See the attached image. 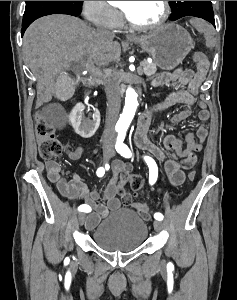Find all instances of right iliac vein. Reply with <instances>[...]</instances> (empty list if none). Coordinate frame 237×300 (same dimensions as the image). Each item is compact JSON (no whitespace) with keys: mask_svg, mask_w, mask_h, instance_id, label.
<instances>
[{"mask_svg":"<svg viewBox=\"0 0 237 300\" xmlns=\"http://www.w3.org/2000/svg\"><path fill=\"white\" fill-rule=\"evenodd\" d=\"M113 150L112 149H110V148H106L105 149V151H104V160L105 161H107L111 156V152H112ZM85 214L84 213H80L79 215H78V221H79V223H80V225H82L83 223H84V221H85Z\"/></svg>","mask_w":237,"mask_h":300,"instance_id":"1","label":"right iliac vein"}]
</instances>
